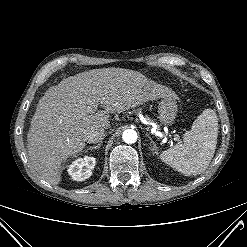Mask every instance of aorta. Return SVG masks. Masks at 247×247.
Instances as JSON below:
<instances>
[{
	"instance_id": "1",
	"label": "aorta",
	"mask_w": 247,
	"mask_h": 247,
	"mask_svg": "<svg viewBox=\"0 0 247 247\" xmlns=\"http://www.w3.org/2000/svg\"><path fill=\"white\" fill-rule=\"evenodd\" d=\"M122 139L127 144H133L137 140V133L132 129H127L123 132Z\"/></svg>"
}]
</instances>
